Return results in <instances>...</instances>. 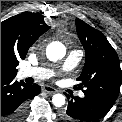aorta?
<instances>
[{
	"label": "aorta",
	"instance_id": "obj_1",
	"mask_svg": "<svg viewBox=\"0 0 122 122\" xmlns=\"http://www.w3.org/2000/svg\"><path fill=\"white\" fill-rule=\"evenodd\" d=\"M66 53L65 46L60 42H52L47 46L46 55L51 61L61 60ZM52 103L55 107H62L65 104V96L62 94H55L52 97Z\"/></svg>",
	"mask_w": 122,
	"mask_h": 122
}]
</instances>
